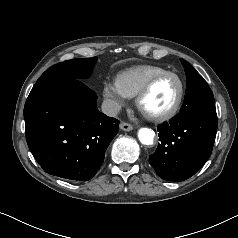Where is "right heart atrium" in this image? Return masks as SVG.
<instances>
[{
  "label": "right heart atrium",
  "instance_id": "obj_1",
  "mask_svg": "<svg viewBox=\"0 0 238 238\" xmlns=\"http://www.w3.org/2000/svg\"><path fill=\"white\" fill-rule=\"evenodd\" d=\"M102 93L113 112L123 107L128 98L119 87L117 81H105Z\"/></svg>",
  "mask_w": 238,
  "mask_h": 238
}]
</instances>
